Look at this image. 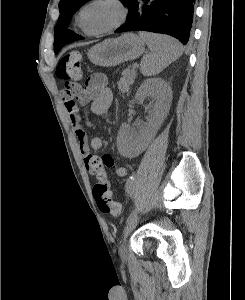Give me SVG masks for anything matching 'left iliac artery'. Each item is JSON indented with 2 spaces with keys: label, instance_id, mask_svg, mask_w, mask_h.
<instances>
[{
  "label": "left iliac artery",
  "instance_id": "44dca946",
  "mask_svg": "<svg viewBox=\"0 0 245 300\" xmlns=\"http://www.w3.org/2000/svg\"><path fill=\"white\" fill-rule=\"evenodd\" d=\"M133 181L134 178L133 176L130 177V179L128 180V184L126 186V194H127V198L132 202L135 203L136 202V197L134 196L133 193ZM134 217H136V211H132L131 214L128 216L127 218V222H129L130 220H132Z\"/></svg>",
  "mask_w": 245,
  "mask_h": 300
}]
</instances>
